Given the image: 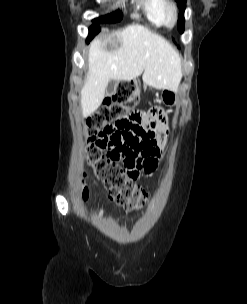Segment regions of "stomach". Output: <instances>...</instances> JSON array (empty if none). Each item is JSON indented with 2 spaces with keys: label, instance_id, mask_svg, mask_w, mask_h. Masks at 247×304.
<instances>
[{
  "label": "stomach",
  "instance_id": "1",
  "mask_svg": "<svg viewBox=\"0 0 247 304\" xmlns=\"http://www.w3.org/2000/svg\"><path fill=\"white\" fill-rule=\"evenodd\" d=\"M161 99L164 104H166L168 106H175L178 103L177 91L163 89V91L161 93Z\"/></svg>",
  "mask_w": 247,
  "mask_h": 304
}]
</instances>
